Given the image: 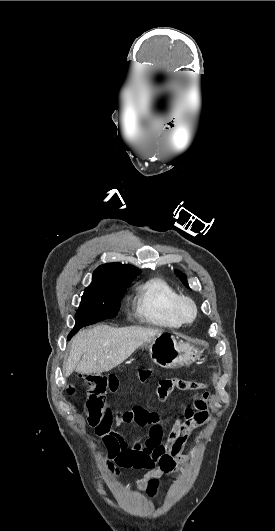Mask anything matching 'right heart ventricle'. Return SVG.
Wrapping results in <instances>:
<instances>
[{"label":"right heart ventricle","instance_id":"1","mask_svg":"<svg viewBox=\"0 0 275 531\" xmlns=\"http://www.w3.org/2000/svg\"><path fill=\"white\" fill-rule=\"evenodd\" d=\"M176 290L164 279L152 277L136 289V311L146 321L162 327H178L180 323L171 312Z\"/></svg>","mask_w":275,"mask_h":531}]
</instances>
